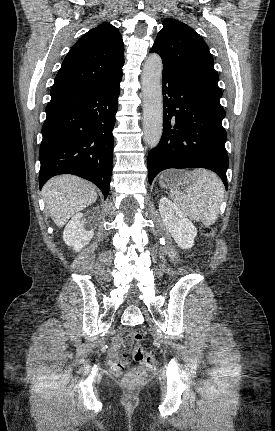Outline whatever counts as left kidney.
<instances>
[{
	"label": "left kidney",
	"mask_w": 275,
	"mask_h": 431,
	"mask_svg": "<svg viewBox=\"0 0 275 431\" xmlns=\"http://www.w3.org/2000/svg\"><path fill=\"white\" fill-rule=\"evenodd\" d=\"M161 218L182 249H189L194 245L197 230L187 216L168 198L162 197L159 202Z\"/></svg>",
	"instance_id": "1"
}]
</instances>
